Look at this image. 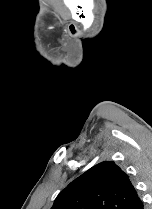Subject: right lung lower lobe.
<instances>
[{"mask_svg": "<svg viewBox=\"0 0 152 209\" xmlns=\"http://www.w3.org/2000/svg\"><path fill=\"white\" fill-rule=\"evenodd\" d=\"M144 205L139 196L137 195L133 202L127 207V209H143Z\"/></svg>", "mask_w": 152, "mask_h": 209, "instance_id": "98d812e1", "label": "right lung lower lobe"}]
</instances>
